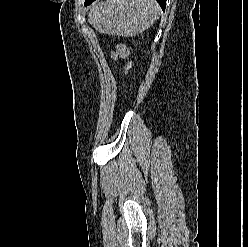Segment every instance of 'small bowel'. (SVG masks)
Wrapping results in <instances>:
<instances>
[{
  "instance_id": "obj_1",
  "label": "small bowel",
  "mask_w": 248,
  "mask_h": 247,
  "mask_svg": "<svg viewBox=\"0 0 248 247\" xmlns=\"http://www.w3.org/2000/svg\"><path fill=\"white\" fill-rule=\"evenodd\" d=\"M129 56V51L126 46L120 45L116 48L115 52L113 53L114 59H126ZM129 66H127L126 69H128Z\"/></svg>"
}]
</instances>
